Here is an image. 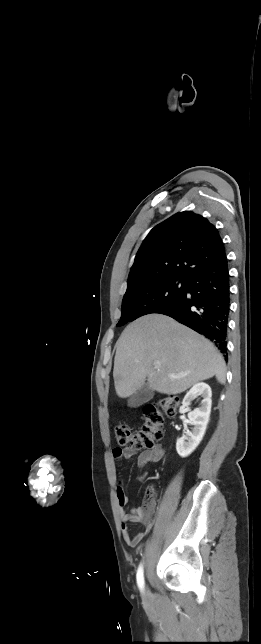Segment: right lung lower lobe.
<instances>
[{
  "mask_svg": "<svg viewBox=\"0 0 261 644\" xmlns=\"http://www.w3.org/2000/svg\"><path fill=\"white\" fill-rule=\"evenodd\" d=\"M228 260L202 268L186 278L183 296L156 313L168 315L210 339L226 353L230 311Z\"/></svg>",
  "mask_w": 261,
  "mask_h": 644,
  "instance_id": "obj_1",
  "label": "right lung lower lobe"
}]
</instances>
